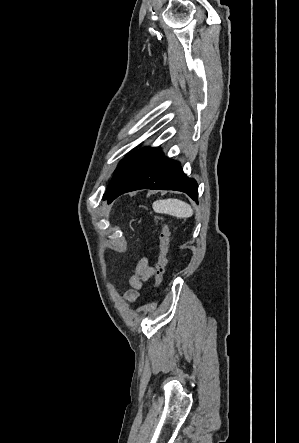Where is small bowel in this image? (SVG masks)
Returning <instances> with one entry per match:
<instances>
[{
    "label": "small bowel",
    "instance_id": "obj_1",
    "mask_svg": "<svg viewBox=\"0 0 299 443\" xmlns=\"http://www.w3.org/2000/svg\"><path fill=\"white\" fill-rule=\"evenodd\" d=\"M154 275V269L150 266L148 258L144 257L137 263L134 273L129 279L130 289L125 294V299L133 303L139 296V291Z\"/></svg>",
    "mask_w": 299,
    "mask_h": 443
}]
</instances>
